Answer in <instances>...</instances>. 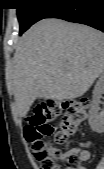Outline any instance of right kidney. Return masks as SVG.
<instances>
[{"label":"right kidney","mask_w":104,"mask_h":169,"mask_svg":"<svg viewBox=\"0 0 104 169\" xmlns=\"http://www.w3.org/2000/svg\"><path fill=\"white\" fill-rule=\"evenodd\" d=\"M104 94V76H100L93 90L91 109L89 111V124L93 131L102 133L104 131V113L100 112L99 104Z\"/></svg>","instance_id":"ca27d5eb"}]
</instances>
